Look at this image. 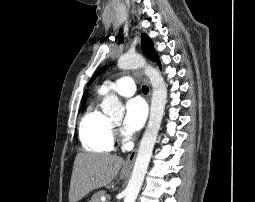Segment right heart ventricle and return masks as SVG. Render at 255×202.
Returning <instances> with one entry per match:
<instances>
[{
  "instance_id": "right-heart-ventricle-1",
  "label": "right heart ventricle",
  "mask_w": 255,
  "mask_h": 202,
  "mask_svg": "<svg viewBox=\"0 0 255 202\" xmlns=\"http://www.w3.org/2000/svg\"><path fill=\"white\" fill-rule=\"evenodd\" d=\"M79 134L82 145L87 151L106 153L113 149L112 121L96 105H91L83 115Z\"/></svg>"
}]
</instances>
